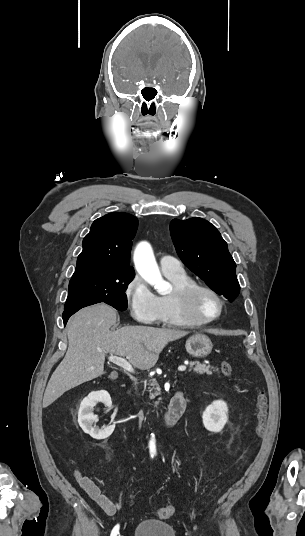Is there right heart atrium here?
<instances>
[{"label": "right heart atrium", "mask_w": 305, "mask_h": 536, "mask_svg": "<svg viewBox=\"0 0 305 536\" xmlns=\"http://www.w3.org/2000/svg\"><path fill=\"white\" fill-rule=\"evenodd\" d=\"M126 305L130 315L143 324H154L158 321L160 304L158 297L148 285L135 275L125 289Z\"/></svg>", "instance_id": "1"}]
</instances>
